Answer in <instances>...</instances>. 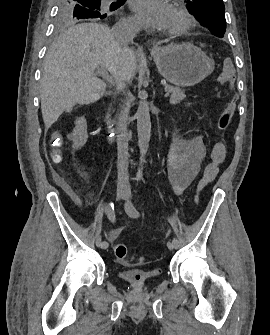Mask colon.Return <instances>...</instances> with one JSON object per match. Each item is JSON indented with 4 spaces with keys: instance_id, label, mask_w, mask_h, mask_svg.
Segmentation results:
<instances>
[{
    "instance_id": "5ec220e1",
    "label": "colon",
    "mask_w": 270,
    "mask_h": 335,
    "mask_svg": "<svg viewBox=\"0 0 270 335\" xmlns=\"http://www.w3.org/2000/svg\"><path fill=\"white\" fill-rule=\"evenodd\" d=\"M221 63L224 64L222 69V74L220 76V82L223 84L224 89H233L234 84L233 80V64L235 63L234 57H222ZM232 108L230 102L224 103L223 111L220 112L219 118L217 121V126L221 130H225L229 127L231 116H232ZM214 159L213 161L206 167L204 174L200 180V187L207 186L212 179L215 177L218 169V165L220 163H226V156H221L226 154L225 149V141H214V149H213ZM115 256L117 259L127 262L129 260V253L126 244L119 243L115 245L114 248Z\"/></svg>"
}]
</instances>
